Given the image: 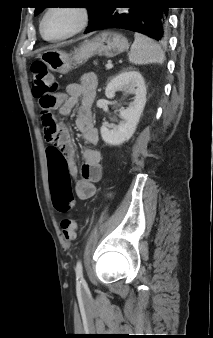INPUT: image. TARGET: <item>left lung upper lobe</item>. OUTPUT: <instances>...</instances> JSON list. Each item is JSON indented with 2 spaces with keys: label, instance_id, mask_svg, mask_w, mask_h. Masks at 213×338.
Returning a JSON list of instances; mask_svg holds the SVG:
<instances>
[{
  "label": "left lung upper lobe",
  "instance_id": "5c2ea615",
  "mask_svg": "<svg viewBox=\"0 0 213 338\" xmlns=\"http://www.w3.org/2000/svg\"><path fill=\"white\" fill-rule=\"evenodd\" d=\"M101 1L102 0H88L87 3L90 4V6L86 7L89 8V25L95 20V18L97 17L100 8H101ZM43 6H36L35 9V14L34 15H38L42 10H43Z\"/></svg>",
  "mask_w": 213,
  "mask_h": 338
}]
</instances>
